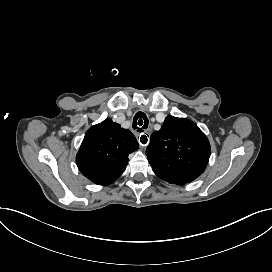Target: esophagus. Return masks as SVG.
<instances>
[{"mask_svg":"<svg viewBox=\"0 0 272 272\" xmlns=\"http://www.w3.org/2000/svg\"><path fill=\"white\" fill-rule=\"evenodd\" d=\"M138 141H139L140 146H142V147L145 148L148 145V143H149V136H148V134L141 133L139 135Z\"/></svg>","mask_w":272,"mask_h":272,"instance_id":"obj_1","label":"esophagus"}]
</instances>
